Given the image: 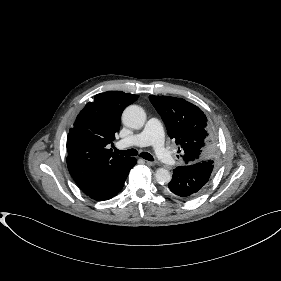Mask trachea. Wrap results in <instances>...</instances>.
<instances>
[{"label": "trachea", "mask_w": 281, "mask_h": 281, "mask_svg": "<svg viewBox=\"0 0 281 281\" xmlns=\"http://www.w3.org/2000/svg\"><path fill=\"white\" fill-rule=\"evenodd\" d=\"M114 150L116 153L123 155V156H136L138 154L137 150H135V149H129V150L122 151V150H118V149L114 148ZM139 156H141L142 158H144L148 161L154 160L152 155L148 152H142V153H140Z\"/></svg>", "instance_id": "trachea-1"}]
</instances>
